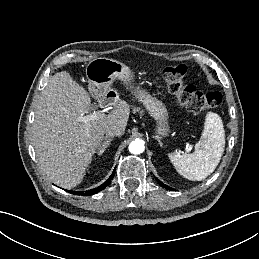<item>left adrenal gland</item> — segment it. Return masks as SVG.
I'll use <instances>...</instances> for the list:
<instances>
[{
    "label": "left adrenal gland",
    "mask_w": 259,
    "mask_h": 259,
    "mask_svg": "<svg viewBox=\"0 0 259 259\" xmlns=\"http://www.w3.org/2000/svg\"><path fill=\"white\" fill-rule=\"evenodd\" d=\"M158 142H159V145H160V146H162V145H163V144L161 143V141H160V140H158Z\"/></svg>",
    "instance_id": "a2214340"
}]
</instances>
